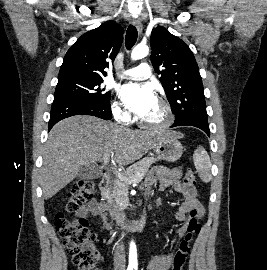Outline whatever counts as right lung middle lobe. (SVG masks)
Returning <instances> with one entry per match:
<instances>
[{
  "mask_svg": "<svg viewBox=\"0 0 267 270\" xmlns=\"http://www.w3.org/2000/svg\"><path fill=\"white\" fill-rule=\"evenodd\" d=\"M103 79H92L84 77H62L58 78L54 100H68L80 103H109L111 93L105 92L100 87Z\"/></svg>",
  "mask_w": 267,
  "mask_h": 270,
  "instance_id": "obj_1",
  "label": "right lung middle lobe"
}]
</instances>
